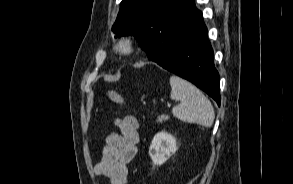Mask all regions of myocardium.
<instances>
[{"label": "myocardium", "instance_id": "f54148a6", "mask_svg": "<svg viewBox=\"0 0 293 184\" xmlns=\"http://www.w3.org/2000/svg\"><path fill=\"white\" fill-rule=\"evenodd\" d=\"M115 51L122 56H129L136 50V43L131 36H123L115 43Z\"/></svg>", "mask_w": 293, "mask_h": 184}]
</instances>
